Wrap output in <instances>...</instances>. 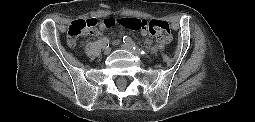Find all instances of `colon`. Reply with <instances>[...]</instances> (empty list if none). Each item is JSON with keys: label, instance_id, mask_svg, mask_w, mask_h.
I'll return each mask as SVG.
<instances>
[{"label": "colon", "instance_id": "5ec220e1", "mask_svg": "<svg viewBox=\"0 0 255 122\" xmlns=\"http://www.w3.org/2000/svg\"><path fill=\"white\" fill-rule=\"evenodd\" d=\"M105 22L109 27L120 26L133 31H147L160 43H168L171 39L170 26L163 20H146L133 17H111L107 18ZM97 24L98 21L94 18L73 21L68 26L67 30L69 42L74 44L79 36L94 33Z\"/></svg>", "mask_w": 255, "mask_h": 122}]
</instances>
